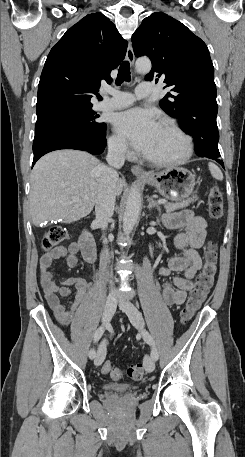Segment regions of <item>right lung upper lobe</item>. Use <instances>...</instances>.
I'll return each mask as SVG.
<instances>
[{
    "label": "right lung upper lobe",
    "instance_id": "cb5924a9",
    "mask_svg": "<svg viewBox=\"0 0 245 457\" xmlns=\"http://www.w3.org/2000/svg\"><path fill=\"white\" fill-rule=\"evenodd\" d=\"M128 42L102 13L85 16L51 49L38 86L36 111L69 100L90 101L101 80L112 81L111 70L126 55Z\"/></svg>",
    "mask_w": 245,
    "mask_h": 457
}]
</instances>
